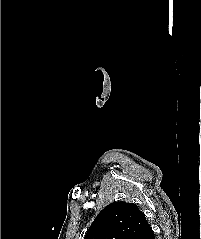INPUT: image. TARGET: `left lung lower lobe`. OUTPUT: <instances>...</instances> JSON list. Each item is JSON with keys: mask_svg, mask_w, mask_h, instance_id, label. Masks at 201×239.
<instances>
[{"mask_svg": "<svg viewBox=\"0 0 201 239\" xmlns=\"http://www.w3.org/2000/svg\"><path fill=\"white\" fill-rule=\"evenodd\" d=\"M146 239H155V235H154V232L153 230L151 229L148 236L146 237Z\"/></svg>", "mask_w": 201, "mask_h": 239, "instance_id": "left-lung-lower-lobe-1", "label": "left lung lower lobe"}]
</instances>
